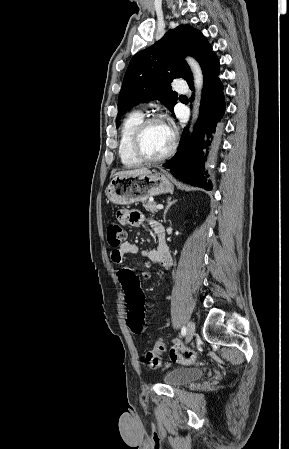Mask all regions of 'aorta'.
<instances>
[{
	"mask_svg": "<svg viewBox=\"0 0 289 449\" xmlns=\"http://www.w3.org/2000/svg\"><path fill=\"white\" fill-rule=\"evenodd\" d=\"M186 60L192 70V73H193L194 84H195V88H196V95L199 96L201 94V89L203 86L202 70H201L198 62L195 59L188 57V58H186ZM197 114H198V109L195 108L194 116L197 117Z\"/></svg>",
	"mask_w": 289,
	"mask_h": 449,
	"instance_id": "1",
	"label": "aorta"
}]
</instances>
